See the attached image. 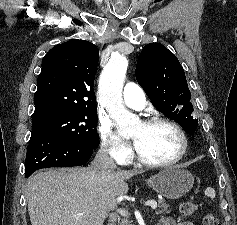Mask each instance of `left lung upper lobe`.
<instances>
[{
    "instance_id": "obj_1",
    "label": "left lung upper lobe",
    "mask_w": 237,
    "mask_h": 225,
    "mask_svg": "<svg viewBox=\"0 0 237 225\" xmlns=\"http://www.w3.org/2000/svg\"><path fill=\"white\" fill-rule=\"evenodd\" d=\"M136 79L152 104L193 134L198 120L192 115L191 94L178 59L162 44H147L137 61Z\"/></svg>"
}]
</instances>
